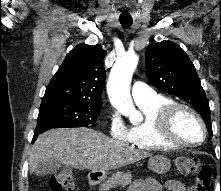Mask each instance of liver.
<instances>
[{
    "label": "liver",
    "mask_w": 221,
    "mask_h": 191,
    "mask_svg": "<svg viewBox=\"0 0 221 191\" xmlns=\"http://www.w3.org/2000/svg\"><path fill=\"white\" fill-rule=\"evenodd\" d=\"M151 154L88 128H57L41 134L32 147L29 170L44 160L55 159L65 166L106 172L135 163Z\"/></svg>",
    "instance_id": "6515ba94"
}]
</instances>
